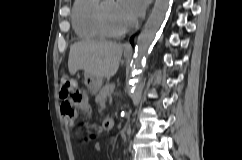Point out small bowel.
I'll return each instance as SVG.
<instances>
[{
    "mask_svg": "<svg viewBox=\"0 0 242 160\" xmlns=\"http://www.w3.org/2000/svg\"><path fill=\"white\" fill-rule=\"evenodd\" d=\"M64 105H66L65 102H63L62 105H61V112H62V107H63ZM86 109H87V103L84 102V103L80 106V110H86ZM63 116H64V115H63ZM64 118H65V123H66L68 126H71V125L73 124V119H71V118H67V117H65V116H64Z\"/></svg>",
    "mask_w": 242,
    "mask_h": 160,
    "instance_id": "1",
    "label": "small bowel"
}]
</instances>
